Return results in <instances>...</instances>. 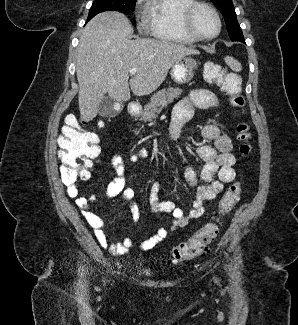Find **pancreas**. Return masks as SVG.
I'll return each mask as SVG.
<instances>
[{"label":"pancreas","instance_id":"1","mask_svg":"<svg viewBox=\"0 0 298 325\" xmlns=\"http://www.w3.org/2000/svg\"><path fill=\"white\" fill-rule=\"evenodd\" d=\"M182 94V88H173V86H168V88H161L157 90L153 96L150 98V102H147L144 106L141 120H153L157 118L164 106H168L169 102H173L174 98H179Z\"/></svg>","mask_w":298,"mask_h":325}]
</instances>
